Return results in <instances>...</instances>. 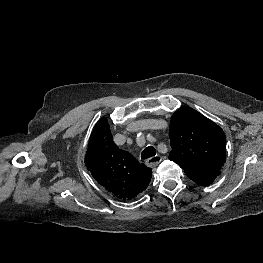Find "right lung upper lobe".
Returning <instances> with one entry per match:
<instances>
[{"label":"right lung upper lobe","mask_w":263,"mask_h":263,"mask_svg":"<svg viewBox=\"0 0 263 263\" xmlns=\"http://www.w3.org/2000/svg\"><path fill=\"white\" fill-rule=\"evenodd\" d=\"M94 179L115 197L130 200L145 190L152 171L113 142L106 118L95 125L85 155Z\"/></svg>","instance_id":"right-lung-upper-lobe-1"}]
</instances>
